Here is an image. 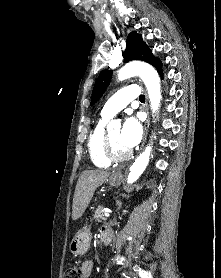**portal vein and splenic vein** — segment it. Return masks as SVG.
<instances>
[{
    "instance_id": "18ae733b",
    "label": "portal vein and splenic vein",
    "mask_w": 221,
    "mask_h": 278,
    "mask_svg": "<svg viewBox=\"0 0 221 278\" xmlns=\"http://www.w3.org/2000/svg\"><path fill=\"white\" fill-rule=\"evenodd\" d=\"M110 213H111V211L105 210L104 215H105L106 217H109V216H110Z\"/></svg>"
}]
</instances>
